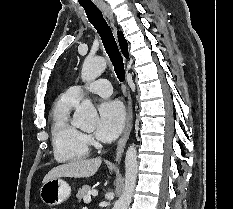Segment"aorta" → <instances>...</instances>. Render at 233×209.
<instances>
[{
    "mask_svg": "<svg viewBox=\"0 0 233 209\" xmlns=\"http://www.w3.org/2000/svg\"><path fill=\"white\" fill-rule=\"evenodd\" d=\"M106 68V60L102 57L85 59L81 78L84 82H90L101 75ZM97 111L89 99H85L76 108L72 124L83 130H93L96 125ZM138 173L137 150L135 145H130L125 156V184L122 195L115 202L113 209H128L134 189L136 186Z\"/></svg>",
    "mask_w": 233,
    "mask_h": 209,
    "instance_id": "1",
    "label": "aorta"
}]
</instances>
